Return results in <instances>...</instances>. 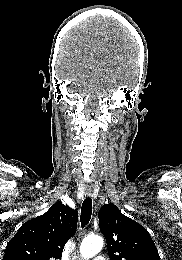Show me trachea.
Segmentation results:
<instances>
[{
	"instance_id": "obj_1",
	"label": "trachea",
	"mask_w": 182,
	"mask_h": 260,
	"mask_svg": "<svg viewBox=\"0 0 182 260\" xmlns=\"http://www.w3.org/2000/svg\"><path fill=\"white\" fill-rule=\"evenodd\" d=\"M91 215H92V199L88 197L83 201L81 207L80 220H81L82 227H85L89 223L91 219Z\"/></svg>"
}]
</instances>
